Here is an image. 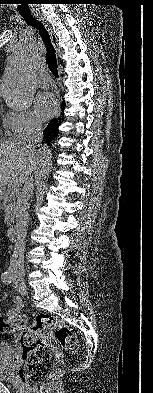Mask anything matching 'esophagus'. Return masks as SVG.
<instances>
[{
	"label": "esophagus",
	"mask_w": 153,
	"mask_h": 393,
	"mask_svg": "<svg viewBox=\"0 0 153 393\" xmlns=\"http://www.w3.org/2000/svg\"><path fill=\"white\" fill-rule=\"evenodd\" d=\"M40 21H42V23L44 24L45 28L49 32L51 41H52L53 45L56 47V49H57V38L54 35V33L52 31V28L50 27V25L48 23L44 22V19L41 18Z\"/></svg>",
	"instance_id": "obj_1"
}]
</instances>
